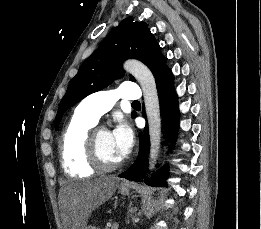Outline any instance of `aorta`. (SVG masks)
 <instances>
[{"instance_id": "aorta-1", "label": "aorta", "mask_w": 261, "mask_h": 229, "mask_svg": "<svg viewBox=\"0 0 261 229\" xmlns=\"http://www.w3.org/2000/svg\"><path fill=\"white\" fill-rule=\"evenodd\" d=\"M123 66L127 72L137 78L143 90L150 139L149 169H154L161 145V117L155 78L150 68L140 60L129 58L125 60ZM98 135H104V133H98Z\"/></svg>"}]
</instances>
